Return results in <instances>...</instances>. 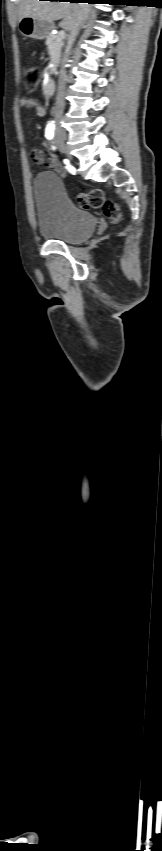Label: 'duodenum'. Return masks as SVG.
Wrapping results in <instances>:
<instances>
[{"mask_svg": "<svg viewBox=\"0 0 162 851\" xmlns=\"http://www.w3.org/2000/svg\"><path fill=\"white\" fill-rule=\"evenodd\" d=\"M42 90H43L44 95H46V96L53 95V93L55 91L54 80L52 78H48L47 80H45V82L43 83V86H42Z\"/></svg>", "mask_w": 162, "mask_h": 851, "instance_id": "1", "label": "duodenum"}]
</instances>
